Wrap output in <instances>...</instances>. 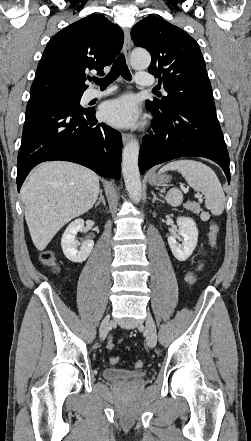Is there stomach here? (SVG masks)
<instances>
[{
	"instance_id": "0dacf381",
	"label": "stomach",
	"mask_w": 251,
	"mask_h": 441,
	"mask_svg": "<svg viewBox=\"0 0 251 441\" xmlns=\"http://www.w3.org/2000/svg\"><path fill=\"white\" fill-rule=\"evenodd\" d=\"M169 179H170L169 176L162 174V173L152 172L149 175V182L151 185H154V186H162L165 183H167L169 181Z\"/></svg>"
}]
</instances>
